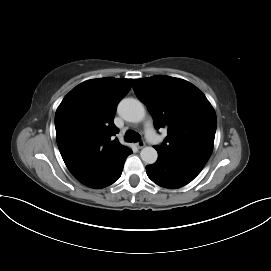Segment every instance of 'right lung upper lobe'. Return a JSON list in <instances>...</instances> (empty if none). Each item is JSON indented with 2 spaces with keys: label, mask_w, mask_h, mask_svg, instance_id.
<instances>
[{
  "label": "right lung upper lobe",
  "mask_w": 271,
  "mask_h": 271,
  "mask_svg": "<svg viewBox=\"0 0 271 271\" xmlns=\"http://www.w3.org/2000/svg\"><path fill=\"white\" fill-rule=\"evenodd\" d=\"M132 79L87 80L71 90L55 114L56 140L69 171L84 185L103 177L129 150L113 136L114 116Z\"/></svg>",
  "instance_id": "right-lung-upper-lobe-1"
}]
</instances>
